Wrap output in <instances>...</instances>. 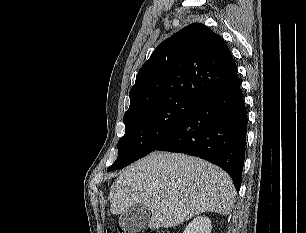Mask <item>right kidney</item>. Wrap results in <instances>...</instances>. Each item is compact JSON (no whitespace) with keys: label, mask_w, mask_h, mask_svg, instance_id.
Returning a JSON list of instances; mask_svg holds the SVG:
<instances>
[{"label":"right kidney","mask_w":306,"mask_h":233,"mask_svg":"<svg viewBox=\"0 0 306 233\" xmlns=\"http://www.w3.org/2000/svg\"><path fill=\"white\" fill-rule=\"evenodd\" d=\"M211 220L207 217L199 216L194 218L183 233H211Z\"/></svg>","instance_id":"1"}]
</instances>
